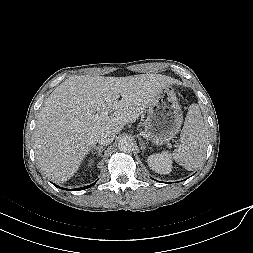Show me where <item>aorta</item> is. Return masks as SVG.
<instances>
[{
  "instance_id": "762f6f07",
  "label": "aorta",
  "mask_w": 253,
  "mask_h": 253,
  "mask_svg": "<svg viewBox=\"0 0 253 253\" xmlns=\"http://www.w3.org/2000/svg\"><path fill=\"white\" fill-rule=\"evenodd\" d=\"M118 148L121 152L130 153L134 149V142L130 138H122L118 142Z\"/></svg>"
}]
</instances>
